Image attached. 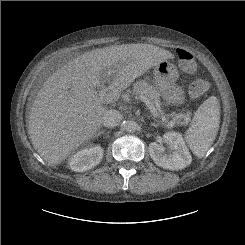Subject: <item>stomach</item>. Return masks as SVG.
<instances>
[{
    "label": "stomach",
    "instance_id": "stomach-1",
    "mask_svg": "<svg viewBox=\"0 0 245 245\" xmlns=\"http://www.w3.org/2000/svg\"><path fill=\"white\" fill-rule=\"evenodd\" d=\"M154 81L160 95L168 105L178 106L184 103L185 93L176 84L179 77L177 67L167 60L157 64L153 69Z\"/></svg>",
    "mask_w": 245,
    "mask_h": 245
}]
</instances>
